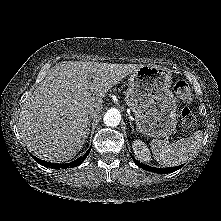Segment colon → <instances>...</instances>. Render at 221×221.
<instances>
[{"label":"colon","instance_id":"5ec220e1","mask_svg":"<svg viewBox=\"0 0 221 221\" xmlns=\"http://www.w3.org/2000/svg\"><path fill=\"white\" fill-rule=\"evenodd\" d=\"M174 92L177 98L183 103H190L193 99L191 90L188 84L184 81H178L174 86ZM181 122L185 127L191 128L196 125V117L193 112L184 108L180 114Z\"/></svg>","mask_w":221,"mask_h":221}]
</instances>
